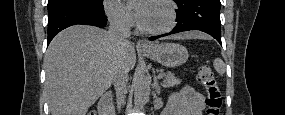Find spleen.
Segmentation results:
<instances>
[{
    "mask_svg": "<svg viewBox=\"0 0 285 115\" xmlns=\"http://www.w3.org/2000/svg\"><path fill=\"white\" fill-rule=\"evenodd\" d=\"M213 66L219 75H223L225 73V64L222 59L216 58L213 62Z\"/></svg>",
    "mask_w": 285,
    "mask_h": 115,
    "instance_id": "obj_1",
    "label": "spleen"
}]
</instances>
